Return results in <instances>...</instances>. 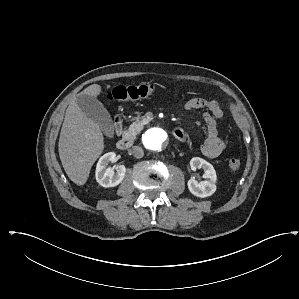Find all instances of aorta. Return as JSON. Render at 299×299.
<instances>
[{
	"label": "aorta",
	"instance_id": "762f6f07",
	"mask_svg": "<svg viewBox=\"0 0 299 299\" xmlns=\"http://www.w3.org/2000/svg\"><path fill=\"white\" fill-rule=\"evenodd\" d=\"M143 143L149 150L162 151L167 146L168 135L163 129L154 127L145 133Z\"/></svg>",
	"mask_w": 299,
	"mask_h": 299
}]
</instances>
